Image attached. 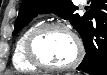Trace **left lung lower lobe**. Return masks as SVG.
Returning <instances> with one entry per match:
<instances>
[{"instance_id": "1", "label": "left lung lower lobe", "mask_w": 107, "mask_h": 75, "mask_svg": "<svg viewBox=\"0 0 107 75\" xmlns=\"http://www.w3.org/2000/svg\"><path fill=\"white\" fill-rule=\"evenodd\" d=\"M87 14L89 21L80 34L86 55L77 70L90 75H107V0H91ZM97 32L104 37L100 38Z\"/></svg>"}]
</instances>
